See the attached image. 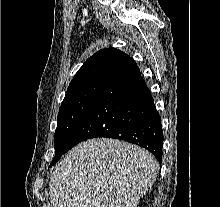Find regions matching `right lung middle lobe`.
I'll list each match as a JSON object with an SVG mask.
<instances>
[{
  "mask_svg": "<svg viewBox=\"0 0 220 207\" xmlns=\"http://www.w3.org/2000/svg\"><path fill=\"white\" fill-rule=\"evenodd\" d=\"M104 81H94L66 92L59 108L54 135L55 157L50 166L67 151L71 136L87 114Z\"/></svg>",
  "mask_w": 220,
  "mask_h": 207,
  "instance_id": "obj_1",
  "label": "right lung middle lobe"
}]
</instances>
